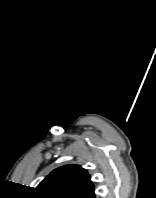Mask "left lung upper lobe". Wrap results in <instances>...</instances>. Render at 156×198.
<instances>
[{"label":"left lung upper lobe","mask_w":156,"mask_h":198,"mask_svg":"<svg viewBox=\"0 0 156 198\" xmlns=\"http://www.w3.org/2000/svg\"><path fill=\"white\" fill-rule=\"evenodd\" d=\"M36 190L40 198H95L90 176L79 165H65L55 169Z\"/></svg>","instance_id":"obj_1"}]
</instances>
